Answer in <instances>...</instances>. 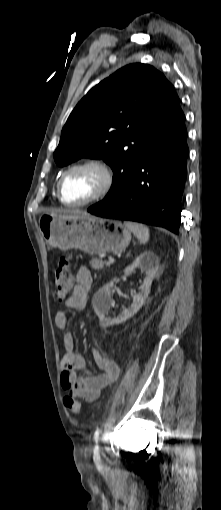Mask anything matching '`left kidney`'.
Returning a JSON list of instances; mask_svg holds the SVG:
<instances>
[{"mask_svg": "<svg viewBox=\"0 0 221 510\" xmlns=\"http://www.w3.org/2000/svg\"><path fill=\"white\" fill-rule=\"evenodd\" d=\"M136 268H140L142 271H144L146 273V277L140 287V292L133 296V303L131 306L127 309H123L118 317L113 319L107 317L108 311L113 305V299L111 298L110 290L113 287L116 279H113L104 285L93 296L92 305L96 315L99 318L100 325L103 328L123 323L139 311L150 292L152 281L159 268V259L156 255H154L153 252L145 251L137 256L133 263L125 268L124 272L129 273Z\"/></svg>", "mask_w": 221, "mask_h": 510, "instance_id": "1", "label": "left kidney"}]
</instances>
